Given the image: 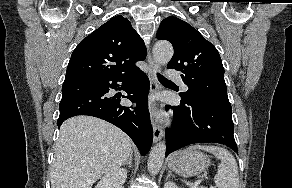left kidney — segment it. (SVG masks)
<instances>
[{
	"label": "left kidney",
	"mask_w": 292,
	"mask_h": 188,
	"mask_svg": "<svg viewBox=\"0 0 292 188\" xmlns=\"http://www.w3.org/2000/svg\"><path fill=\"white\" fill-rule=\"evenodd\" d=\"M164 188H179V187L173 182H166L164 185Z\"/></svg>",
	"instance_id": "5707ae66"
}]
</instances>
